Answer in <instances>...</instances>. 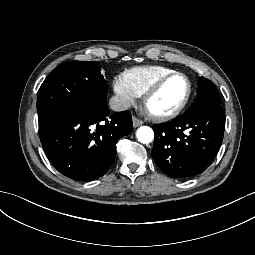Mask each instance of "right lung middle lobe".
<instances>
[{"mask_svg":"<svg viewBox=\"0 0 255 255\" xmlns=\"http://www.w3.org/2000/svg\"><path fill=\"white\" fill-rule=\"evenodd\" d=\"M107 90L108 85L95 62H65L49 74L38 91V119L52 109L75 102L104 112L108 108Z\"/></svg>","mask_w":255,"mask_h":255,"instance_id":"right-lung-middle-lobe-1","label":"right lung middle lobe"}]
</instances>
